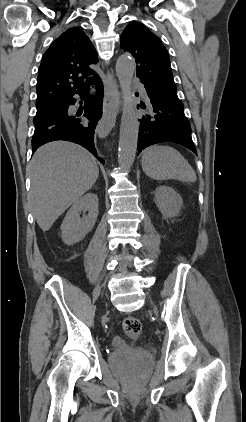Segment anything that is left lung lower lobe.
<instances>
[{"label":"left lung lower lobe","mask_w":246,"mask_h":422,"mask_svg":"<svg viewBox=\"0 0 246 422\" xmlns=\"http://www.w3.org/2000/svg\"><path fill=\"white\" fill-rule=\"evenodd\" d=\"M145 90L146 102L140 104L145 114L140 119L138 153L150 145L171 141L197 154L183 104L173 102L149 86Z\"/></svg>","instance_id":"obj_1"}]
</instances>
